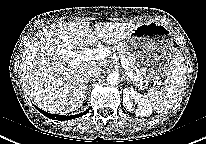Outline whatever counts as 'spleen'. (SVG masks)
<instances>
[{"instance_id":"obj_1","label":"spleen","mask_w":206,"mask_h":144,"mask_svg":"<svg viewBox=\"0 0 206 144\" xmlns=\"http://www.w3.org/2000/svg\"><path fill=\"white\" fill-rule=\"evenodd\" d=\"M185 73L183 60L177 53L171 61L169 76L163 85L152 87L148 91L147 99L156 112H165L177 101L184 85Z\"/></svg>"}]
</instances>
